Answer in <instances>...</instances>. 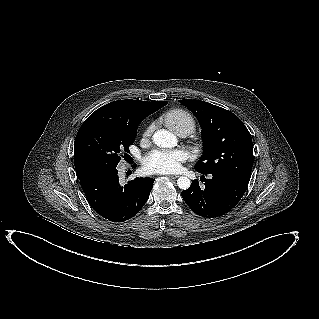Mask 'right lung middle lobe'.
I'll list each match as a JSON object with an SVG mask.
<instances>
[{"instance_id": "right-lung-middle-lobe-1", "label": "right lung middle lobe", "mask_w": 319, "mask_h": 319, "mask_svg": "<svg viewBox=\"0 0 319 319\" xmlns=\"http://www.w3.org/2000/svg\"><path fill=\"white\" fill-rule=\"evenodd\" d=\"M135 137L136 132L116 122H84L74 143L76 172L116 168L120 151L129 152Z\"/></svg>"}]
</instances>
